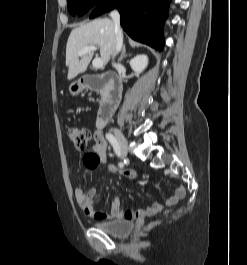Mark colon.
Here are the masks:
<instances>
[{
    "label": "colon",
    "instance_id": "1",
    "mask_svg": "<svg viewBox=\"0 0 247 265\" xmlns=\"http://www.w3.org/2000/svg\"><path fill=\"white\" fill-rule=\"evenodd\" d=\"M68 136L75 148L84 150L90 140L91 133L85 127H70L68 129Z\"/></svg>",
    "mask_w": 247,
    "mask_h": 265
}]
</instances>
